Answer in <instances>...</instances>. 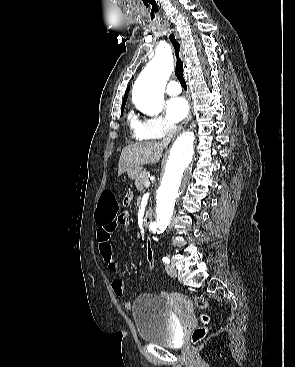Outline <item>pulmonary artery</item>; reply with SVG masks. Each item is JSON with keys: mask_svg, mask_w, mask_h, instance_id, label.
Masks as SVG:
<instances>
[{"mask_svg": "<svg viewBox=\"0 0 295 367\" xmlns=\"http://www.w3.org/2000/svg\"><path fill=\"white\" fill-rule=\"evenodd\" d=\"M182 89L181 86L179 85V83L175 80H172L168 83L167 88H166V92L167 94H169L170 96H176L179 95L181 93Z\"/></svg>", "mask_w": 295, "mask_h": 367, "instance_id": "e3ab8cb5", "label": "pulmonary artery"}]
</instances>
